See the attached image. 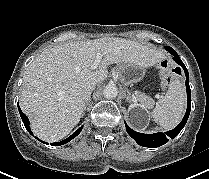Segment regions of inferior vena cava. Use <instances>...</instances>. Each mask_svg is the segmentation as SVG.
<instances>
[{"instance_id": "inferior-vena-cava-1", "label": "inferior vena cava", "mask_w": 209, "mask_h": 179, "mask_svg": "<svg viewBox=\"0 0 209 179\" xmlns=\"http://www.w3.org/2000/svg\"><path fill=\"white\" fill-rule=\"evenodd\" d=\"M95 84H92L86 91L85 95H84V100L87 101L88 98L90 97L91 92L95 89Z\"/></svg>"}]
</instances>
